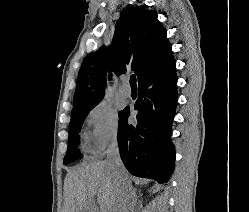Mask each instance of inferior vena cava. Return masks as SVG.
<instances>
[{
	"label": "inferior vena cava",
	"instance_id": "602c4592",
	"mask_svg": "<svg viewBox=\"0 0 249 212\" xmlns=\"http://www.w3.org/2000/svg\"><path fill=\"white\" fill-rule=\"evenodd\" d=\"M109 166L114 168L115 200L113 212H133L132 186L126 168H124L117 142H112L107 150Z\"/></svg>",
	"mask_w": 249,
	"mask_h": 212
}]
</instances>
